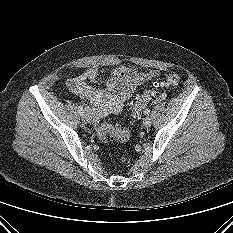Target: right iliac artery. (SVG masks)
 <instances>
[{"label":"right iliac artery","mask_w":233,"mask_h":233,"mask_svg":"<svg viewBox=\"0 0 233 233\" xmlns=\"http://www.w3.org/2000/svg\"><path fill=\"white\" fill-rule=\"evenodd\" d=\"M78 112H79V114H80L81 116L84 115V109H83V107H82L81 105L78 106Z\"/></svg>","instance_id":"82829eb1"}]
</instances>
